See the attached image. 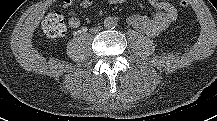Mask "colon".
<instances>
[{
	"mask_svg": "<svg viewBox=\"0 0 217 121\" xmlns=\"http://www.w3.org/2000/svg\"><path fill=\"white\" fill-rule=\"evenodd\" d=\"M183 7L188 5V0H178ZM44 32L51 37H60L66 33V25L60 12H51L44 18L42 22Z\"/></svg>",
	"mask_w": 217,
	"mask_h": 121,
	"instance_id": "1",
	"label": "colon"
}]
</instances>
